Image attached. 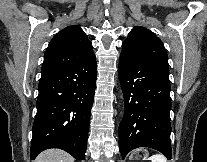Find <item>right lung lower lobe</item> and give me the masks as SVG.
<instances>
[{"instance_id": "1", "label": "right lung lower lobe", "mask_w": 207, "mask_h": 162, "mask_svg": "<svg viewBox=\"0 0 207 162\" xmlns=\"http://www.w3.org/2000/svg\"><path fill=\"white\" fill-rule=\"evenodd\" d=\"M96 85V58L42 75L33 124L30 158L48 148L85 160Z\"/></svg>"}]
</instances>
